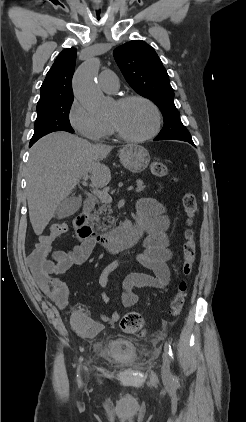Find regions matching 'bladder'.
<instances>
[{"mask_svg":"<svg viewBox=\"0 0 246 422\" xmlns=\"http://www.w3.org/2000/svg\"><path fill=\"white\" fill-rule=\"evenodd\" d=\"M116 363L127 367H138L140 365V357L138 348L122 338H112L105 346V355Z\"/></svg>","mask_w":246,"mask_h":422,"instance_id":"1","label":"bladder"}]
</instances>
